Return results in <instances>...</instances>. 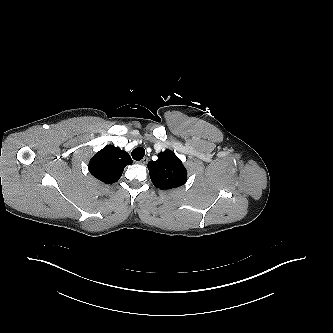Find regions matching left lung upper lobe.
I'll use <instances>...</instances> for the list:
<instances>
[{
	"label": "left lung upper lobe",
	"instance_id": "obj_1",
	"mask_svg": "<svg viewBox=\"0 0 333 333\" xmlns=\"http://www.w3.org/2000/svg\"><path fill=\"white\" fill-rule=\"evenodd\" d=\"M148 169L152 183L162 190L177 188L187 180V170L171 150L160 152L156 161L148 163Z\"/></svg>",
	"mask_w": 333,
	"mask_h": 333
}]
</instances>
